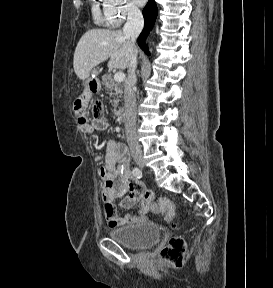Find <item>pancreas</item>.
Instances as JSON below:
<instances>
[{
    "mask_svg": "<svg viewBox=\"0 0 273 288\" xmlns=\"http://www.w3.org/2000/svg\"><path fill=\"white\" fill-rule=\"evenodd\" d=\"M102 83L105 86V89L108 91V94L112 96L114 99L112 104L114 106V112H116V108L118 107L119 99L122 97V86L119 82H116L112 74H105L102 77Z\"/></svg>",
    "mask_w": 273,
    "mask_h": 288,
    "instance_id": "cf45deb5",
    "label": "pancreas"
}]
</instances>
